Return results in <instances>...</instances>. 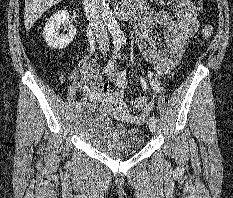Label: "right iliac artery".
Returning <instances> with one entry per match:
<instances>
[{
    "instance_id": "82829eb1",
    "label": "right iliac artery",
    "mask_w": 233,
    "mask_h": 198,
    "mask_svg": "<svg viewBox=\"0 0 233 198\" xmlns=\"http://www.w3.org/2000/svg\"><path fill=\"white\" fill-rule=\"evenodd\" d=\"M114 47H115V48H114V54H115V55H113V59L110 60V61L108 62V64H107V69L104 70L105 73L107 72V70H108L109 67H112V66L114 65L115 59H116V57H117V52L120 50V45H119V43H115V44H114ZM81 106H82V103H81V102H76L75 108L79 109Z\"/></svg>"
}]
</instances>
